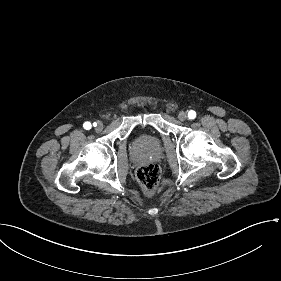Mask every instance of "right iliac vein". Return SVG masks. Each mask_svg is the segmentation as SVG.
<instances>
[{
    "label": "right iliac vein",
    "instance_id": "right-iliac-vein-1",
    "mask_svg": "<svg viewBox=\"0 0 281 281\" xmlns=\"http://www.w3.org/2000/svg\"><path fill=\"white\" fill-rule=\"evenodd\" d=\"M102 129H103V124H102L101 122H98V123L96 124L95 130H96L97 132H100V131H102Z\"/></svg>",
    "mask_w": 281,
    "mask_h": 281
}]
</instances>
